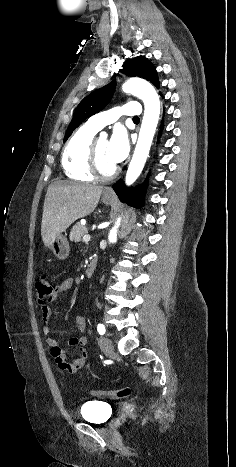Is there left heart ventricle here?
Wrapping results in <instances>:
<instances>
[{
    "label": "left heart ventricle",
    "instance_id": "left-heart-ventricle-1",
    "mask_svg": "<svg viewBox=\"0 0 236 467\" xmlns=\"http://www.w3.org/2000/svg\"><path fill=\"white\" fill-rule=\"evenodd\" d=\"M97 151L101 169L104 172H109L116 164L108 156V141L106 139L97 140Z\"/></svg>",
    "mask_w": 236,
    "mask_h": 467
}]
</instances>
